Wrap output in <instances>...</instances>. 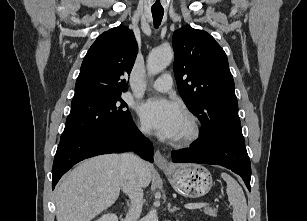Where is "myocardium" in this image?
<instances>
[{
    "label": "myocardium",
    "mask_w": 307,
    "mask_h": 221,
    "mask_svg": "<svg viewBox=\"0 0 307 221\" xmlns=\"http://www.w3.org/2000/svg\"><path fill=\"white\" fill-rule=\"evenodd\" d=\"M184 117L189 123V131L185 135L173 140V144L179 147L188 146L194 143L201 135V126L198 118L190 112H186Z\"/></svg>",
    "instance_id": "myocardium-1"
}]
</instances>
